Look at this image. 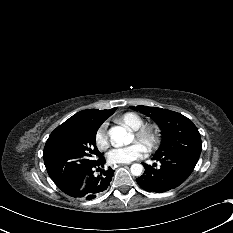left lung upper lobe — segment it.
<instances>
[{
  "instance_id": "left-lung-upper-lobe-1",
  "label": "left lung upper lobe",
  "mask_w": 233,
  "mask_h": 233,
  "mask_svg": "<svg viewBox=\"0 0 233 233\" xmlns=\"http://www.w3.org/2000/svg\"><path fill=\"white\" fill-rule=\"evenodd\" d=\"M131 109L151 117L162 129V141L156 154L177 153L199 160L202 150L200 133L194 123L180 113L139 105Z\"/></svg>"
}]
</instances>
